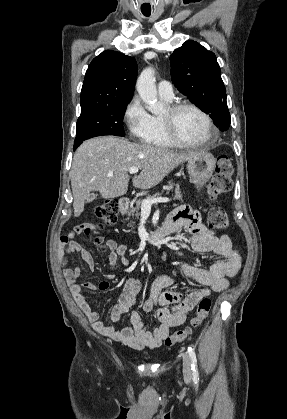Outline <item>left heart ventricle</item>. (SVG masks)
<instances>
[{
  "instance_id": "left-heart-ventricle-1",
  "label": "left heart ventricle",
  "mask_w": 287,
  "mask_h": 419,
  "mask_svg": "<svg viewBox=\"0 0 287 419\" xmlns=\"http://www.w3.org/2000/svg\"><path fill=\"white\" fill-rule=\"evenodd\" d=\"M162 118L172 119L177 134L187 142H201L209 135L205 120L194 110L184 109L172 114L170 108H168Z\"/></svg>"
}]
</instances>
